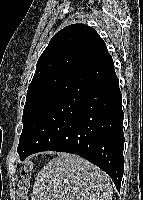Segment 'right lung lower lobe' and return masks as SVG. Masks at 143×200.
<instances>
[{
  "mask_svg": "<svg viewBox=\"0 0 143 200\" xmlns=\"http://www.w3.org/2000/svg\"><path fill=\"white\" fill-rule=\"evenodd\" d=\"M122 94L112 57L69 75L33 118L17 149L77 154L104 170L118 191L124 172Z\"/></svg>",
  "mask_w": 143,
  "mask_h": 200,
  "instance_id": "98d812e1",
  "label": "right lung lower lobe"
}]
</instances>
